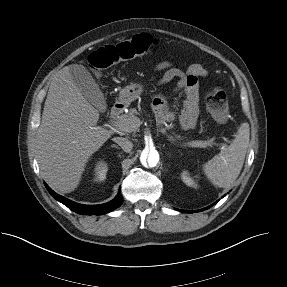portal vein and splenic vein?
<instances>
[{"mask_svg":"<svg viewBox=\"0 0 287 287\" xmlns=\"http://www.w3.org/2000/svg\"><path fill=\"white\" fill-rule=\"evenodd\" d=\"M116 127H118V129H120V125L117 124L115 125ZM183 147H200V148H206L207 146L204 144V141H191V142H188L186 143L185 145H182ZM223 148V146H222Z\"/></svg>","mask_w":287,"mask_h":287,"instance_id":"portal-vein-and-splenic-vein-1","label":"portal vein and splenic vein"}]
</instances>
